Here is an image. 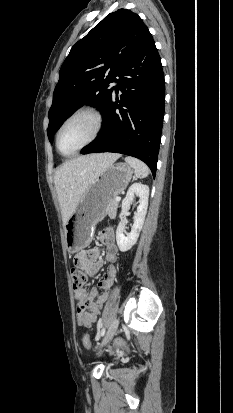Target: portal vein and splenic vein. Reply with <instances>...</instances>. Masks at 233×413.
Instances as JSON below:
<instances>
[{
  "instance_id": "portal-vein-and-splenic-vein-1",
  "label": "portal vein and splenic vein",
  "mask_w": 233,
  "mask_h": 413,
  "mask_svg": "<svg viewBox=\"0 0 233 413\" xmlns=\"http://www.w3.org/2000/svg\"><path fill=\"white\" fill-rule=\"evenodd\" d=\"M115 200H116L117 202H119V201L121 200V198H120V197H116Z\"/></svg>"
}]
</instances>
